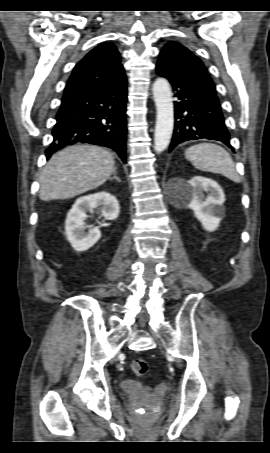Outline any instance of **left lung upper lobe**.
Masks as SVG:
<instances>
[{"mask_svg": "<svg viewBox=\"0 0 270 453\" xmlns=\"http://www.w3.org/2000/svg\"><path fill=\"white\" fill-rule=\"evenodd\" d=\"M159 61H166L180 72L215 87L203 62L178 42L167 43L159 55Z\"/></svg>", "mask_w": 270, "mask_h": 453, "instance_id": "left-lung-upper-lobe-1", "label": "left lung upper lobe"}]
</instances>
